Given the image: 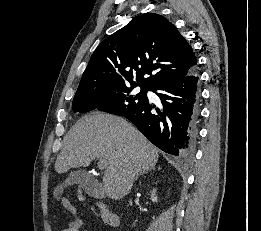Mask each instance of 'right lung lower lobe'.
<instances>
[{"mask_svg":"<svg viewBox=\"0 0 261 231\" xmlns=\"http://www.w3.org/2000/svg\"><path fill=\"white\" fill-rule=\"evenodd\" d=\"M151 90L160 98L161 110L147 102L122 116L164 152L183 158L190 157L197 135L200 98L197 69L184 77L160 82Z\"/></svg>","mask_w":261,"mask_h":231,"instance_id":"right-lung-lower-lobe-1","label":"right lung lower lobe"}]
</instances>
